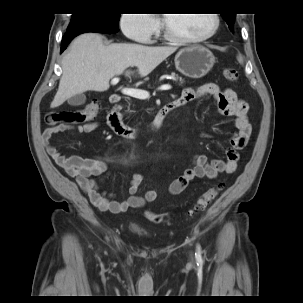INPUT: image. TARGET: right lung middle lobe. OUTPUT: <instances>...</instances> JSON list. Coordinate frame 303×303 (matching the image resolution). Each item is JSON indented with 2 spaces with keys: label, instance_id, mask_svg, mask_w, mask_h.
Listing matches in <instances>:
<instances>
[{
  "label": "right lung middle lobe",
  "instance_id": "right-lung-middle-lobe-1",
  "mask_svg": "<svg viewBox=\"0 0 303 303\" xmlns=\"http://www.w3.org/2000/svg\"><path fill=\"white\" fill-rule=\"evenodd\" d=\"M119 18H120L119 13L86 12L80 14H73L72 20L67 28V32L92 24L118 26Z\"/></svg>",
  "mask_w": 303,
  "mask_h": 303
}]
</instances>
